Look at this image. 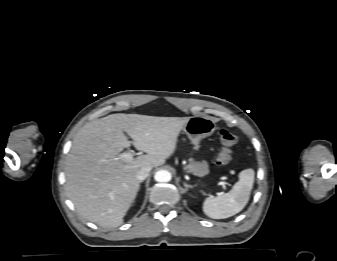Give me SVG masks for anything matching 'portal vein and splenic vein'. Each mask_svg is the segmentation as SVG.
Listing matches in <instances>:
<instances>
[{
    "mask_svg": "<svg viewBox=\"0 0 337 261\" xmlns=\"http://www.w3.org/2000/svg\"><path fill=\"white\" fill-rule=\"evenodd\" d=\"M120 160L124 162L131 161L133 159V154L132 153H124L122 155H119L118 157Z\"/></svg>",
    "mask_w": 337,
    "mask_h": 261,
    "instance_id": "portal-vein-and-splenic-vein-1",
    "label": "portal vein and splenic vein"
}]
</instances>
